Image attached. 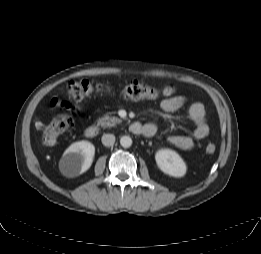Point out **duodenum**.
<instances>
[{
	"label": "duodenum",
	"instance_id": "duodenum-1",
	"mask_svg": "<svg viewBox=\"0 0 261 254\" xmlns=\"http://www.w3.org/2000/svg\"><path fill=\"white\" fill-rule=\"evenodd\" d=\"M130 129L135 134H146V128L139 122L132 123ZM84 133L87 138H95L99 134V129L97 126L91 125L85 129Z\"/></svg>",
	"mask_w": 261,
	"mask_h": 254
}]
</instances>
